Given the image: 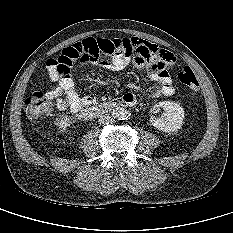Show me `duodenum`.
Returning <instances> with one entry per match:
<instances>
[{"instance_id": "obj_1", "label": "duodenum", "mask_w": 233, "mask_h": 233, "mask_svg": "<svg viewBox=\"0 0 233 233\" xmlns=\"http://www.w3.org/2000/svg\"><path fill=\"white\" fill-rule=\"evenodd\" d=\"M135 103L136 100L133 97H122L113 99L108 102L89 103L81 109L80 114L85 119H92L94 117L106 114L118 108L132 107L135 105Z\"/></svg>"}]
</instances>
